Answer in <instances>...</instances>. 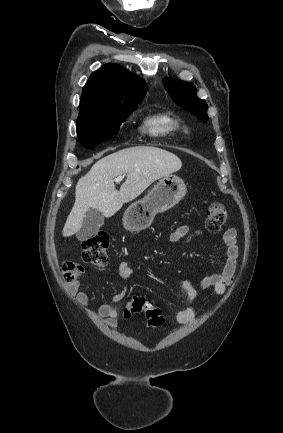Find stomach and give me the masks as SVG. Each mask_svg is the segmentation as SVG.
Masks as SVG:
<instances>
[{
	"label": "stomach",
	"instance_id": "stomach-1",
	"mask_svg": "<svg viewBox=\"0 0 283 433\" xmlns=\"http://www.w3.org/2000/svg\"><path fill=\"white\" fill-rule=\"evenodd\" d=\"M186 192V184L180 176L166 174L144 198L132 202L125 210L126 229L138 231L141 225L153 221L157 212H164L177 204Z\"/></svg>",
	"mask_w": 283,
	"mask_h": 433
}]
</instances>
